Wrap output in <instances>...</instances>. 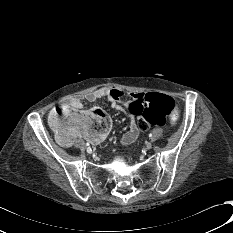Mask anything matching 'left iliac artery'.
Here are the masks:
<instances>
[{
	"label": "left iliac artery",
	"mask_w": 233,
	"mask_h": 233,
	"mask_svg": "<svg viewBox=\"0 0 233 233\" xmlns=\"http://www.w3.org/2000/svg\"><path fill=\"white\" fill-rule=\"evenodd\" d=\"M149 137H150V138H152V137H153L152 133H150V134H149Z\"/></svg>",
	"instance_id": "left-iliac-artery-1"
}]
</instances>
